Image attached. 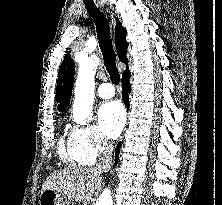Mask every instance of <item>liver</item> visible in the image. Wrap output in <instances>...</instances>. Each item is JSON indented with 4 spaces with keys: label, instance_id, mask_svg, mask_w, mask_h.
<instances>
[{
    "label": "liver",
    "instance_id": "6515ba94",
    "mask_svg": "<svg viewBox=\"0 0 222 205\" xmlns=\"http://www.w3.org/2000/svg\"><path fill=\"white\" fill-rule=\"evenodd\" d=\"M100 184V173L94 169L71 167L50 174L42 186V191L53 190L65 199L87 204Z\"/></svg>",
    "mask_w": 222,
    "mask_h": 205
}]
</instances>
